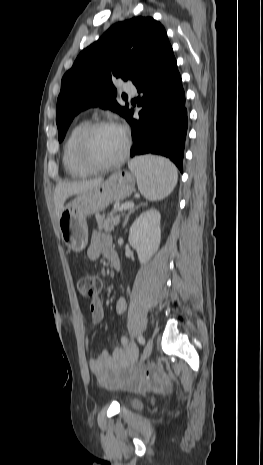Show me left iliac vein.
Masks as SVG:
<instances>
[{
  "mask_svg": "<svg viewBox=\"0 0 263 465\" xmlns=\"http://www.w3.org/2000/svg\"><path fill=\"white\" fill-rule=\"evenodd\" d=\"M153 349V340L149 339L145 345L144 351L142 353L140 364H142L151 354Z\"/></svg>",
  "mask_w": 263,
  "mask_h": 465,
  "instance_id": "4c4485c4",
  "label": "left iliac vein"
}]
</instances>
